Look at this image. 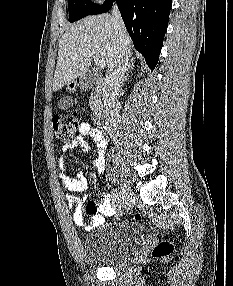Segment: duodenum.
Wrapping results in <instances>:
<instances>
[{
  "label": "duodenum",
  "mask_w": 233,
  "mask_h": 286,
  "mask_svg": "<svg viewBox=\"0 0 233 286\" xmlns=\"http://www.w3.org/2000/svg\"><path fill=\"white\" fill-rule=\"evenodd\" d=\"M93 89L96 93L100 106L97 111L96 121L98 128L103 132H108L110 130V120L109 115L102 104L103 93H104V83L98 80L94 83Z\"/></svg>",
  "instance_id": "obj_1"
}]
</instances>
